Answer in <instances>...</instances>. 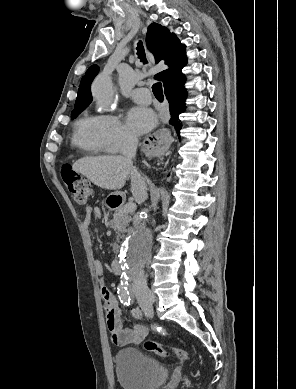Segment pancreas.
Instances as JSON below:
<instances>
[{
	"label": "pancreas",
	"instance_id": "obj_1",
	"mask_svg": "<svg viewBox=\"0 0 296 389\" xmlns=\"http://www.w3.org/2000/svg\"><path fill=\"white\" fill-rule=\"evenodd\" d=\"M131 220L129 212L124 210V206H121L115 210L113 219L108 222V225L114 229L116 234L120 235L127 232Z\"/></svg>",
	"mask_w": 296,
	"mask_h": 389
}]
</instances>
